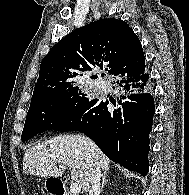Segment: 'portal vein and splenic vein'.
Instances as JSON below:
<instances>
[{
  "instance_id": "18ae733b",
  "label": "portal vein and splenic vein",
  "mask_w": 189,
  "mask_h": 195,
  "mask_svg": "<svg viewBox=\"0 0 189 195\" xmlns=\"http://www.w3.org/2000/svg\"><path fill=\"white\" fill-rule=\"evenodd\" d=\"M60 169H65L64 165H59ZM81 191V187L77 182H73L70 185V193L71 195H77Z\"/></svg>"
}]
</instances>
